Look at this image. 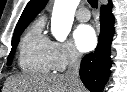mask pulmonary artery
Masks as SVG:
<instances>
[{"mask_svg":"<svg viewBox=\"0 0 127 92\" xmlns=\"http://www.w3.org/2000/svg\"><path fill=\"white\" fill-rule=\"evenodd\" d=\"M76 18L80 22H86L90 19V13L88 9L81 7L76 11Z\"/></svg>","mask_w":127,"mask_h":92,"instance_id":"1","label":"pulmonary artery"}]
</instances>
